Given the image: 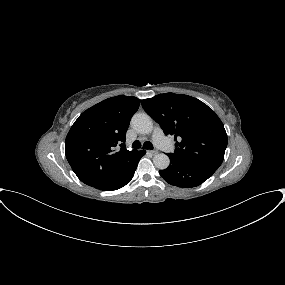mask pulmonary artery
I'll list each match as a JSON object with an SVG mask.
<instances>
[{
  "label": "pulmonary artery",
  "instance_id": "e3ab8cb5",
  "mask_svg": "<svg viewBox=\"0 0 285 285\" xmlns=\"http://www.w3.org/2000/svg\"><path fill=\"white\" fill-rule=\"evenodd\" d=\"M153 140L155 142V144L163 151L165 152H171L173 147L172 144L170 143V141L163 135L162 130L156 126L153 129Z\"/></svg>",
  "mask_w": 285,
  "mask_h": 285
}]
</instances>
